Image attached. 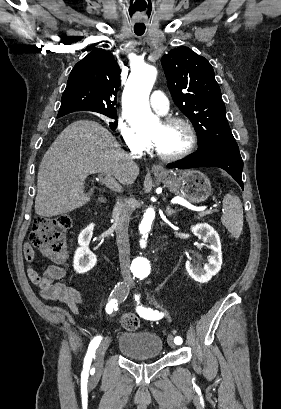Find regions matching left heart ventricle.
Wrapping results in <instances>:
<instances>
[{
	"instance_id": "obj_1",
	"label": "left heart ventricle",
	"mask_w": 281,
	"mask_h": 409,
	"mask_svg": "<svg viewBox=\"0 0 281 409\" xmlns=\"http://www.w3.org/2000/svg\"><path fill=\"white\" fill-rule=\"evenodd\" d=\"M146 139L150 140L160 152L171 155L182 151L187 146L188 133L180 124L164 126L160 122L148 132Z\"/></svg>"
}]
</instances>
